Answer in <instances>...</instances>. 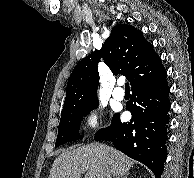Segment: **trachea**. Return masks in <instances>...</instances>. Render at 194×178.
<instances>
[{
  "label": "trachea",
  "instance_id": "3493384b",
  "mask_svg": "<svg viewBox=\"0 0 194 178\" xmlns=\"http://www.w3.org/2000/svg\"><path fill=\"white\" fill-rule=\"evenodd\" d=\"M125 91H130L129 83L125 84Z\"/></svg>",
  "mask_w": 194,
  "mask_h": 178
}]
</instances>
